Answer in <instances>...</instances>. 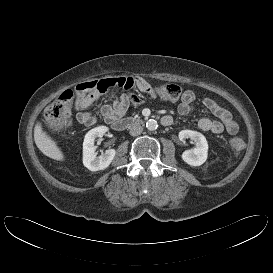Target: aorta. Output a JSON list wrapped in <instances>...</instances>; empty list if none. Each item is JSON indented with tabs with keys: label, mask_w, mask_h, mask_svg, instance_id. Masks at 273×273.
<instances>
[{
	"label": "aorta",
	"mask_w": 273,
	"mask_h": 273,
	"mask_svg": "<svg viewBox=\"0 0 273 273\" xmlns=\"http://www.w3.org/2000/svg\"><path fill=\"white\" fill-rule=\"evenodd\" d=\"M158 127V124H157V121L154 120V119H150L146 122V128L149 130V131H154L156 130Z\"/></svg>",
	"instance_id": "obj_1"
}]
</instances>
